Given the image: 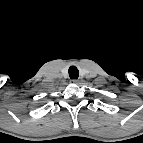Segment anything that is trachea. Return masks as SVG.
I'll return each instance as SVG.
<instances>
[{"label":"trachea","instance_id":"3493384b","mask_svg":"<svg viewBox=\"0 0 143 143\" xmlns=\"http://www.w3.org/2000/svg\"><path fill=\"white\" fill-rule=\"evenodd\" d=\"M69 77L71 79H77L79 77V71L75 66L69 68Z\"/></svg>","mask_w":143,"mask_h":143}]
</instances>
